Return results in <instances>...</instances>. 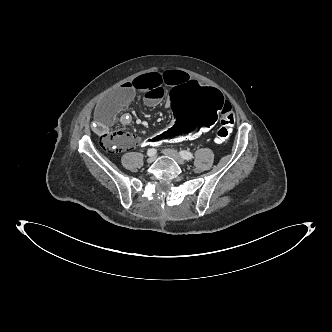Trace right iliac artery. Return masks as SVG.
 <instances>
[{"mask_svg":"<svg viewBox=\"0 0 332 332\" xmlns=\"http://www.w3.org/2000/svg\"><path fill=\"white\" fill-rule=\"evenodd\" d=\"M157 153V150L155 149V148H150V149H148V151H147V155L148 156H153V155H155Z\"/></svg>","mask_w":332,"mask_h":332,"instance_id":"1","label":"right iliac artery"}]
</instances>
